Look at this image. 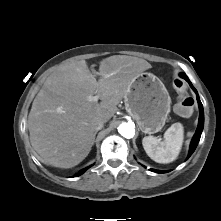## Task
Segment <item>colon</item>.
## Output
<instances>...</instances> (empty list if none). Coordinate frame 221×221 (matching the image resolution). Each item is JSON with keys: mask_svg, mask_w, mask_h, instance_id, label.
Wrapping results in <instances>:
<instances>
[{"mask_svg": "<svg viewBox=\"0 0 221 221\" xmlns=\"http://www.w3.org/2000/svg\"><path fill=\"white\" fill-rule=\"evenodd\" d=\"M173 87L178 93V102L175 106V111L182 117H189L193 112V99L186 95V84L180 79L176 78L173 81Z\"/></svg>", "mask_w": 221, "mask_h": 221, "instance_id": "5ec220e1", "label": "colon"}]
</instances>
